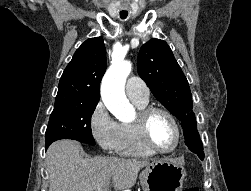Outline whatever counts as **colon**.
Masks as SVG:
<instances>
[{
  "label": "colon",
  "mask_w": 251,
  "mask_h": 191,
  "mask_svg": "<svg viewBox=\"0 0 251 191\" xmlns=\"http://www.w3.org/2000/svg\"><path fill=\"white\" fill-rule=\"evenodd\" d=\"M186 191H199V189L196 187H189V188H187Z\"/></svg>",
  "instance_id": "5ec220e1"
}]
</instances>
